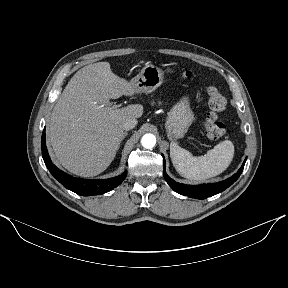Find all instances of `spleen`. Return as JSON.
I'll use <instances>...</instances> for the list:
<instances>
[{"instance_id":"spleen-1","label":"spleen","mask_w":288,"mask_h":288,"mask_svg":"<svg viewBox=\"0 0 288 288\" xmlns=\"http://www.w3.org/2000/svg\"><path fill=\"white\" fill-rule=\"evenodd\" d=\"M233 155L234 146L229 140L221 142L200 157L192 156L175 142L170 144V157L176 171L183 177L195 181L206 180L224 172L229 167Z\"/></svg>"}]
</instances>
